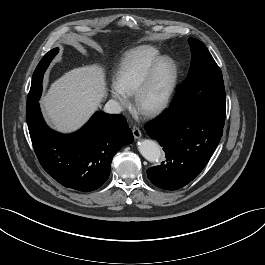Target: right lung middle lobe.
Instances as JSON below:
<instances>
[{"mask_svg":"<svg viewBox=\"0 0 265 265\" xmlns=\"http://www.w3.org/2000/svg\"><path fill=\"white\" fill-rule=\"evenodd\" d=\"M58 53V48L52 49L50 52H48L40 61L38 64L36 70L34 71L33 77H32V84L30 88V92L28 94L27 98V108H30L33 106L36 102H38L41 92H42V80H43V74L45 70L47 69L50 61L53 59V57Z\"/></svg>","mask_w":265,"mask_h":265,"instance_id":"1","label":"right lung middle lobe"}]
</instances>
